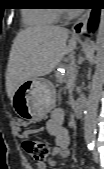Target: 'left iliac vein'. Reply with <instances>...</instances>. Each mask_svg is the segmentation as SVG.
Listing matches in <instances>:
<instances>
[{"label": "left iliac vein", "instance_id": "obj_1", "mask_svg": "<svg viewBox=\"0 0 104 169\" xmlns=\"http://www.w3.org/2000/svg\"><path fill=\"white\" fill-rule=\"evenodd\" d=\"M93 159H94V161H95L96 163L99 162V154H98V151H97V150L94 151Z\"/></svg>", "mask_w": 104, "mask_h": 169}]
</instances>
